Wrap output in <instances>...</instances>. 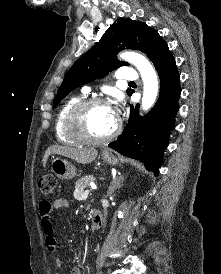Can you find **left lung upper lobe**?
<instances>
[{
    "label": "left lung upper lobe",
    "mask_w": 221,
    "mask_h": 274,
    "mask_svg": "<svg viewBox=\"0 0 221 274\" xmlns=\"http://www.w3.org/2000/svg\"><path fill=\"white\" fill-rule=\"evenodd\" d=\"M164 43L153 28L143 22L120 19L103 34L100 41L81 56L67 72L53 102V108L73 89L80 85L106 76L120 66L128 65L119 61L117 53L123 49H136L149 58ZM133 90L128 89L131 95Z\"/></svg>",
    "instance_id": "left-lung-upper-lobe-1"
}]
</instances>
